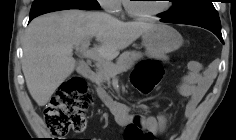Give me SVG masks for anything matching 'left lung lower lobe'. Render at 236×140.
<instances>
[{
    "instance_id": "left-lung-lower-lobe-1",
    "label": "left lung lower lobe",
    "mask_w": 236,
    "mask_h": 140,
    "mask_svg": "<svg viewBox=\"0 0 236 140\" xmlns=\"http://www.w3.org/2000/svg\"><path fill=\"white\" fill-rule=\"evenodd\" d=\"M161 22H169V20L166 17H162ZM170 23H172V22H170ZM179 24H187V23H179ZM189 25L200 26V27H203V28L213 32L220 39V41L222 43H224L223 39H222L221 29H216V28H212V27H208V26H203V25H197V24H189Z\"/></svg>"
}]
</instances>
